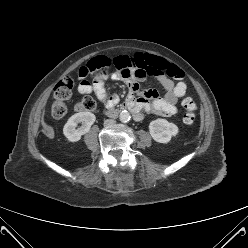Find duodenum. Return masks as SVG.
Here are the masks:
<instances>
[{
    "mask_svg": "<svg viewBox=\"0 0 248 248\" xmlns=\"http://www.w3.org/2000/svg\"><path fill=\"white\" fill-rule=\"evenodd\" d=\"M124 110H129V111H132L133 112V108H132V105H131V102L130 101H125V103L123 105H121L118 109H115V110H110L109 109L107 111V114L109 116L116 117V116H118V114L121 111H124Z\"/></svg>",
    "mask_w": 248,
    "mask_h": 248,
    "instance_id": "obj_1",
    "label": "duodenum"
}]
</instances>
